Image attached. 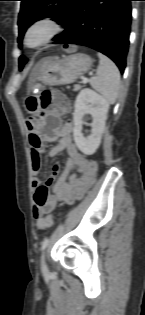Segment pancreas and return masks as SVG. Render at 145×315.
I'll return each mask as SVG.
<instances>
[{"label": "pancreas", "instance_id": "cf45deb5", "mask_svg": "<svg viewBox=\"0 0 145 315\" xmlns=\"http://www.w3.org/2000/svg\"><path fill=\"white\" fill-rule=\"evenodd\" d=\"M82 87L80 85H74V91L80 90Z\"/></svg>", "mask_w": 145, "mask_h": 315}]
</instances>
